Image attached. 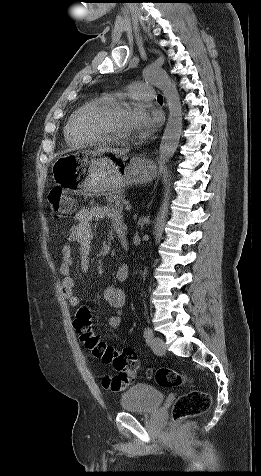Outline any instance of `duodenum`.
<instances>
[{"label": "duodenum", "instance_id": "1", "mask_svg": "<svg viewBox=\"0 0 261 476\" xmlns=\"http://www.w3.org/2000/svg\"><path fill=\"white\" fill-rule=\"evenodd\" d=\"M117 236H118V239H119L121 245L124 248H127L128 247V238H127V233H126L125 229H119L117 231Z\"/></svg>", "mask_w": 261, "mask_h": 476}]
</instances>
